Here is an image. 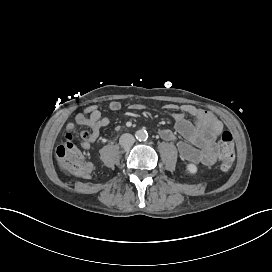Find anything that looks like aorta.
<instances>
[{
  "label": "aorta",
  "mask_w": 272,
  "mask_h": 272,
  "mask_svg": "<svg viewBox=\"0 0 272 272\" xmlns=\"http://www.w3.org/2000/svg\"><path fill=\"white\" fill-rule=\"evenodd\" d=\"M147 138H148V133L146 130L141 129L136 132V139L137 140L145 141V140H147Z\"/></svg>",
  "instance_id": "aorta-1"
}]
</instances>
